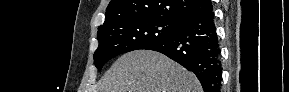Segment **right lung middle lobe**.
Segmentation results:
<instances>
[{
	"mask_svg": "<svg viewBox=\"0 0 289 92\" xmlns=\"http://www.w3.org/2000/svg\"><path fill=\"white\" fill-rule=\"evenodd\" d=\"M180 22L158 17L120 21L98 30L99 46L94 53L98 71L113 57L167 40L175 34Z\"/></svg>",
	"mask_w": 289,
	"mask_h": 92,
	"instance_id": "dd1d6c3e",
	"label": "right lung middle lobe"
}]
</instances>
